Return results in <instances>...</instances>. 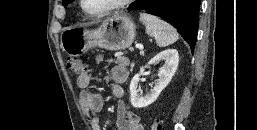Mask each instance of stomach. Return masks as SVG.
<instances>
[{
	"mask_svg": "<svg viewBox=\"0 0 257 130\" xmlns=\"http://www.w3.org/2000/svg\"><path fill=\"white\" fill-rule=\"evenodd\" d=\"M135 36L133 20L127 15L117 14L103 21L96 29L66 27L60 36V46L66 54L80 56L94 47L110 51L128 48Z\"/></svg>",
	"mask_w": 257,
	"mask_h": 130,
	"instance_id": "1",
	"label": "stomach"
}]
</instances>
